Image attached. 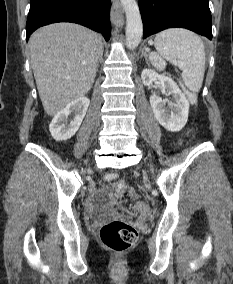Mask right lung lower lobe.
<instances>
[{"instance_id": "98d812e1", "label": "right lung lower lobe", "mask_w": 233, "mask_h": 284, "mask_svg": "<svg viewBox=\"0 0 233 284\" xmlns=\"http://www.w3.org/2000/svg\"><path fill=\"white\" fill-rule=\"evenodd\" d=\"M111 0H30L26 40L39 27L56 22H74L110 38Z\"/></svg>"}]
</instances>
